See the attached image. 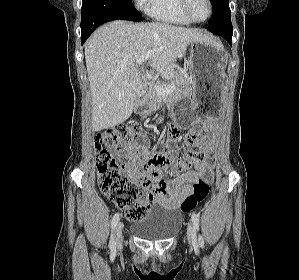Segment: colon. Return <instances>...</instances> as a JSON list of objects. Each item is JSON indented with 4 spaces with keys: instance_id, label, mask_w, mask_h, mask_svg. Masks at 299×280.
Instances as JSON below:
<instances>
[{
    "instance_id": "colon-1",
    "label": "colon",
    "mask_w": 299,
    "mask_h": 280,
    "mask_svg": "<svg viewBox=\"0 0 299 280\" xmlns=\"http://www.w3.org/2000/svg\"><path fill=\"white\" fill-rule=\"evenodd\" d=\"M172 144L163 153L154 157V161L164 169L175 175H181L192 169L195 160L200 157V148L196 129L185 131V155L178 156L175 142L179 138L178 129H170ZM146 138L137 127L119 125L99 133L95 141L96 165L98 171V184L101 192L112 201L115 206L124 212L129 221L141 220L149 210L148 193L134 180L127 164L115 158L112 149L125 142L144 144ZM210 182L205 179L198 180L192 192L181 203L183 212H190L207 197Z\"/></svg>"
}]
</instances>
